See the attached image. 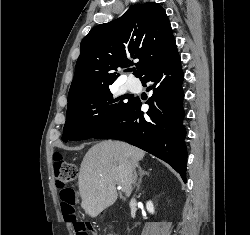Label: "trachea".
<instances>
[{
    "label": "trachea",
    "mask_w": 250,
    "mask_h": 235,
    "mask_svg": "<svg viewBox=\"0 0 250 235\" xmlns=\"http://www.w3.org/2000/svg\"><path fill=\"white\" fill-rule=\"evenodd\" d=\"M131 71H135V68H132Z\"/></svg>",
    "instance_id": "trachea-1"
}]
</instances>
